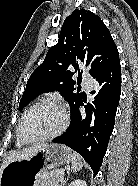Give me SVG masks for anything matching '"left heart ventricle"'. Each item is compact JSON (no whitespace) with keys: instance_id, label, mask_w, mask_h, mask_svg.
Segmentation results:
<instances>
[{"instance_id":"left-heart-ventricle-1","label":"left heart ventricle","mask_w":138,"mask_h":186,"mask_svg":"<svg viewBox=\"0 0 138 186\" xmlns=\"http://www.w3.org/2000/svg\"><path fill=\"white\" fill-rule=\"evenodd\" d=\"M63 121L60 109L45 105L33 109L24 119L22 133L28 139L49 135L59 129Z\"/></svg>"}]
</instances>
